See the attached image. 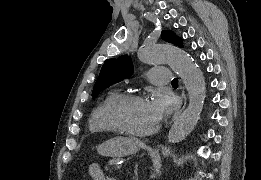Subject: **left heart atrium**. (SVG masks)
Masks as SVG:
<instances>
[{
    "label": "left heart atrium",
    "mask_w": 261,
    "mask_h": 180,
    "mask_svg": "<svg viewBox=\"0 0 261 180\" xmlns=\"http://www.w3.org/2000/svg\"><path fill=\"white\" fill-rule=\"evenodd\" d=\"M151 108L161 116L171 113L176 107V98L166 91H155L149 100Z\"/></svg>",
    "instance_id": "left-heart-atrium-1"
}]
</instances>
